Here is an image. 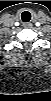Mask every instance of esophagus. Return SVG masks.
Wrapping results in <instances>:
<instances>
[{
	"label": "esophagus",
	"mask_w": 51,
	"mask_h": 101,
	"mask_svg": "<svg viewBox=\"0 0 51 101\" xmlns=\"http://www.w3.org/2000/svg\"><path fill=\"white\" fill-rule=\"evenodd\" d=\"M23 27L24 28H31L32 27V24L29 23V22H25V23H23Z\"/></svg>",
	"instance_id": "obj_1"
}]
</instances>
